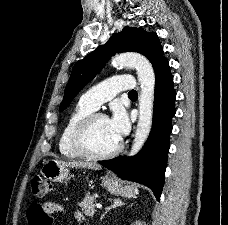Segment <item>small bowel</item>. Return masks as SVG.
<instances>
[{
	"instance_id": "obj_1",
	"label": "small bowel",
	"mask_w": 228,
	"mask_h": 225,
	"mask_svg": "<svg viewBox=\"0 0 228 225\" xmlns=\"http://www.w3.org/2000/svg\"><path fill=\"white\" fill-rule=\"evenodd\" d=\"M62 211L63 207L56 202H46L43 205L32 204V207H29L27 212L29 220L28 225H52V218H48V214L59 213ZM76 217L80 218L81 215L79 213H76Z\"/></svg>"
}]
</instances>
